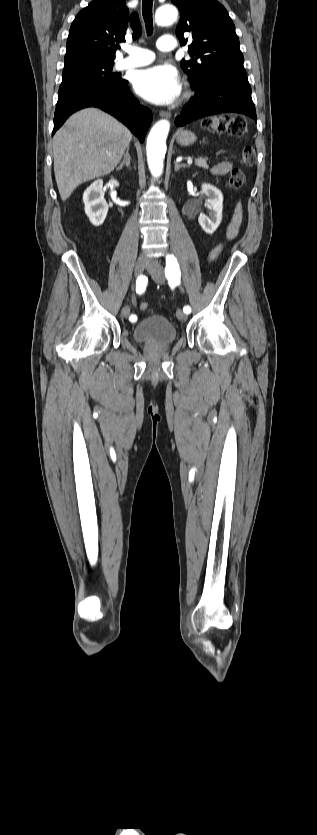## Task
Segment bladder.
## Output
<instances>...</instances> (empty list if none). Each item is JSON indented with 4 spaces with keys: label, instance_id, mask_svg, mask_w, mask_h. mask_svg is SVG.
I'll use <instances>...</instances> for the list:
<instances>
[{
    "label": "bladder",
    "instance_id": "bladder-1",
    "mask_svg": "<svg viewBox=\"0 0 317 835\" xmlns=\"http://www.w3.org/2000/svg\"><path fill=\"white\" fill-rule=\"evenodd\" d=\"M133 338L141 344L168 345L177 339V329L166 317L151 315L135 325Z\"/></svg>",
    "mask_w": 317,
    "mask_h": 835
}]
</instances>
